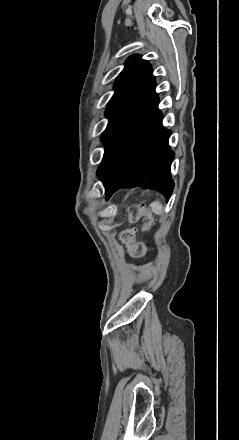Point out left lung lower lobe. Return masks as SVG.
<instances>
[{
    "label": "left lung lower lobe",
    "instance_id": "0a47b994",
    "mask_svg": "<svg viewBox=\"0 0 239 440\" xmlns=\"http://www.w3.org/2000/svg\"><path fill=\"white\" fill-rule=\"evenodd\" d=\"M155 82L137 104L102 137L104 158L97 173L105 186L106 200L120 188L146 186L163 191L167 200L174 182L170 166V130L163 128L157 106Z\"/></svg>",
    "mask_w": 239,
    "mask_h": 440
}]
</instances>
